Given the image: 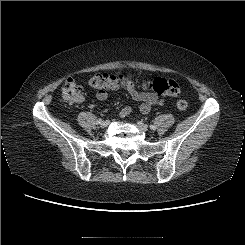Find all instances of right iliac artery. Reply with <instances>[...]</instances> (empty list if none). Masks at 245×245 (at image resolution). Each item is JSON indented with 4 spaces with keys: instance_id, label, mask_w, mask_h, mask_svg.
Returning <instances> with one entry per match:
<instances>
[{
    "instance_id": "1",
    "label": "right iliac artery",
    "mask_w": 245,
    "mask_h": 245,
    "mask_svg": "<svg viewBox=\"0 0 245 245\" xmlns=\"http://www.w3.org/2000/svg\"><path fill=\"white\" fill-rule=\"evenodd\" d=\"M101 121H102V119H98V120H97V123H99V124H100V123H101Z\"/></svg>"
}]
</instances>
